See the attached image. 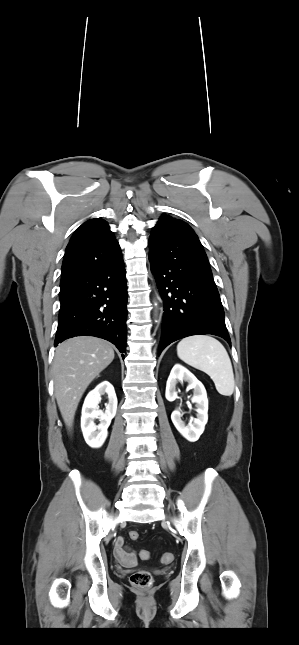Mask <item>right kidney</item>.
<instances>
[{"instance_id":"right-kidney-1","label":"right kidney","mask_w":299,"mask_h":645,"mask_svg":"<svg viewBox=\"0 0 299 645\" xmlns=\"http://www.w3.org/2000/svg\"><path fill=\"white\" fill-rule=\"evenodd\" d=\"M105 393L108 395L109 401L103 412L98 409V404L101 401V395ZM116 410L117 397L114 387L108 381L100 383L88 393L82 407L81 429L84 439L90 447L100 448L103 445L107 438V429L116 415ZM94 419H99L100 423L96 425Z\"/></svg>"}]
</instances>
